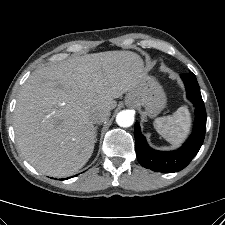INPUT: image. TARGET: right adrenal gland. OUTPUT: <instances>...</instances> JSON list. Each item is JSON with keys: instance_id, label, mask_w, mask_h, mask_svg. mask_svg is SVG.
Here are the masks:
<instances>
[{"instance_id": "right-adrenal-gland-1", "label": "right adrenal gland", "mask_w": 225, "mask_h": 225, "mask_svg": "<svg viewBox=\"0 0 225 225\" xmlns=\"http://www.w3.org/2000/svg\"><path fill=\"white\" fill-rule=\"evenodd\" d=\"M97 126L95 127V142H97Z\"/></svg>"}]
</instances>
